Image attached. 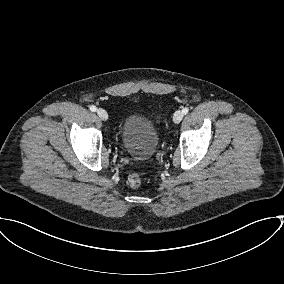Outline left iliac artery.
Masks as SVG:
<instances>
[{"label": "left iliac artery", "instance_id": "1", "mask_svg": "<svg viewBox=\"0 0 284 284\" xmlns=\"http://www.w3.org/2000/svg\"><path fill=\"white\" fill-rule=\"evenodd\" d=\"M189 112V108L185 107L183 110H182V113L184 115H186L187 113Z\"/></svg>", "mask_w": 284, "mask_h": 284}]
</instances>
